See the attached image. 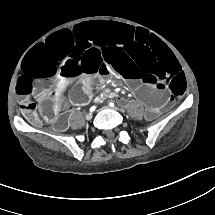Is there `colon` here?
I'll use <instances>...</instances> for the list:
<instances>
[{"mask_svg":"<svg viewBox=\"0 0 215 215\" xmlns=\"http://www.w3.org/2000/svg\"><path fill=\"white\" fill-rule=\"evenodd\" d=\"M41 110L44 111L46 119L53 123L57 120L58 113L56 107V99L51 96L44 95L39 101ZM24 115L29 121H37L36 105L34 103H23L20 106Z\"/></svg>","mask_w":215,"mask_h":215,"instance_id":"1","label":"colon"}]
</instances>
